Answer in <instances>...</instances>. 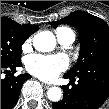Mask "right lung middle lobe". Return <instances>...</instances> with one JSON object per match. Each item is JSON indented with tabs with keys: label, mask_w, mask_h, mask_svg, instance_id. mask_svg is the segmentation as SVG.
Instances as JSON below:
<instances>
[{
	"label": "right lung middle lobe",
	"mask_w": 109,
	"mask_h": 109,
	"mask_svg": "<svg viewBox=\"0 0 109 109\" xmlns=\"http://www.w3.org/2000/svg\"><path fill=\"white\" fill-rule=\"evenodd\" d=\"M22 26L13 21H1V64L21 62V46L28 38Z\"/></svg>",
	"instance_id": "1"
}]
</instances>
